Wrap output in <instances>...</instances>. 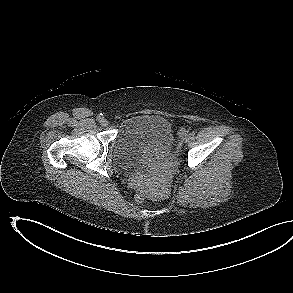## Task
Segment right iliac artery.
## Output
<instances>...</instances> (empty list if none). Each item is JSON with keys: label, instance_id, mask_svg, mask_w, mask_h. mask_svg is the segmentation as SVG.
<instances>
[{"label": "right iliac artery", "instance_id": "right-iliac-artery-1", "mask_svg": "<svg viewBox=\"0 0 293 293\" xmlns=\"http://www.w3.org/2000/svg\"><path fill=\"white\" fill-rule=\"evenodd\" d=\"M102 119H103V114H100L99 116H97V120H98L99 122H101Z\"/></svg>", "mask_w": 293, "mask_h": 293}]
</instances>
